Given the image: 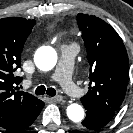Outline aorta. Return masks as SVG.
<instances>
[{"instance_id": "obj_1", "label": "aorta", "mask_w": 133, "mask_h": 133, "mask_svg": "<svg viewBox=\"0 0 133 133\" xmlns=\"http://www.w3.org/2000/svg\"><path fill=\"white\" fill-rule=\"evenodd\" d=\"M34 62L37 68L42 71L52 70L57 63V53L52 47H46L35 55ZM66 113L68 118L76 123L82 121L85 116L84 109L77 103L70 104L66 109Z\"/></svg>"}]
</instances>
